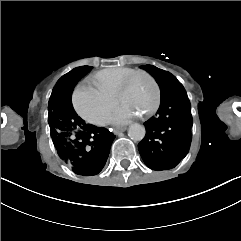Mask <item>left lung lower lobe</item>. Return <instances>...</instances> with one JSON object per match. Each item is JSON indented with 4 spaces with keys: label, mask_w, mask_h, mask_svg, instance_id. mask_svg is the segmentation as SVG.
<instances>
[{
    "label": "left lung lower lobe",
    "mask_w": 241,
    "mask_h": 241,
    "mask_svg": "<svg viewBox=\"0 0 241 241\" xmlns=\"http://www.w3.org/2000/svg\"><path fill=\"white\" fill-rule=\"evenodd\" d=\"M190 110L184 88L173 89L161 96L157 114L144 123L146 136L138 145L149 168L167 170L186 156L191 143Z\"/></svg>",
    "instance_id": "obj_1"
}]
</instances>
